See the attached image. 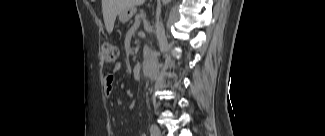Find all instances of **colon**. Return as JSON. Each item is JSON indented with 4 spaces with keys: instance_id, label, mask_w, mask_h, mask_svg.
I'll return each instance as SVG.
<instances>
[{
    "instance_id": "obj_1",
    "label": "colon",
    "mask_w": 325,
    "mask_h": 136,
    "mask_svg": "<svg viewBox=\"0 0 325 136\" xmlns=\"http://www.w3.org/2000/svg\"><path fill=\"white\" fill-rule=\"evenodd\" d=\"M102 54L105 62L114 63L118 58L119 51L115 45L111 43H104L102 45Z\"/></svg>"
}]
</instances>
